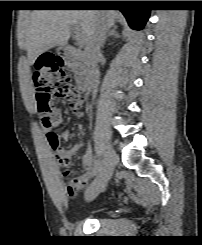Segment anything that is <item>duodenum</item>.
<instances>
[{
	"label": "duodenum",
	"instance_id": "410a0bca",
	"mask_svg": "<svg viewBox=\"0 0 202 245\" xmlns=\"http://www.w3.org/2000/svg\"><path fill=\"white\" fill-rule=\"evenodd\" d=\"M57 52L65 59L73 62L76 71V85L80 92L89 93L92 89V77L90 75V65L85 60L82 53L75 51L69 45L64 44L57 49Z\"/></svg>",
	"mask_w": 202,
	"mask_h": 245
}]
</instances>
